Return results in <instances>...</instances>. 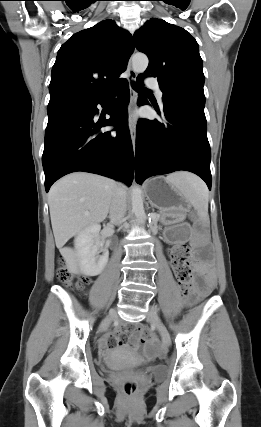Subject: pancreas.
I'll return each instance as SVG.
<instances>
[{
  "instance_id": "obj_1",
  "label": "pancreas",
  "mask_w": 261,
  "mask_h": 427,
  "mask_svg": "<svg viewBox=\"0 0 261 427\" xmlns=\"http://www.w3.org/2000/svg\"><path fill=\"white\" fill-rule=\"evenodd\" d=\"M155 217H156V219L160 218V216H159V215H156Z\"/></svg>"
}]
</instances>
